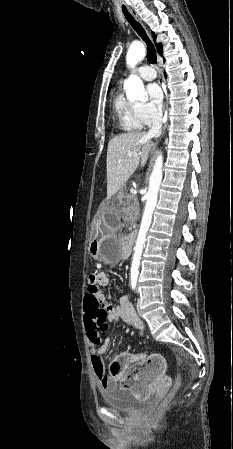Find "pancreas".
<instances>
[{
	"mask_svg": "<svg viewBox=\"0 0 233 449\" xmlns=\"http://www.w3.org/2000/svg\"><path fill=\"white\" fill-rule=\"evenodd\" d=\"M125 198L128 202V207L124 209V212L130 216H137L139 209L136 196L126 194Z\"/></svg>",
	"mask_w": 233,
	"mask_h": 449,
	"instance_id": "pancreas-1",
	"label": "pancreas"
}]
</instances>
